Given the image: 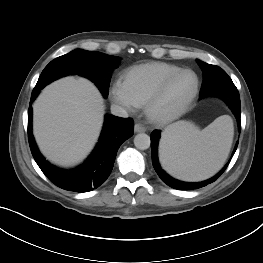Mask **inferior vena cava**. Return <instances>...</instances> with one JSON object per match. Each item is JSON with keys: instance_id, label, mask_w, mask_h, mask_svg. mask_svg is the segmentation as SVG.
Returning <instances> with one entry per match:
<instances>
[{"instance_id": "inferior-vena-cava-1", "label": "inferior vena cava", "mask_w": 263, "mask_h": 263, "mask_svg": "<svg viewBox=\"0 0 263 263\" xmlns=\"http://www.w3.org/2000/svg\"><path fill=\"white\" fill-rule=\"evenodd\" d=\"M111 113L118 117H123V118L128 117L127 111L121 106L115 104L111 105Z\"/></svg>"}]
</instances>
